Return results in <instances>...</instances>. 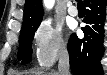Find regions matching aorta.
<instances>
[{"instance_id":"1","label":"aorta","mask_w":107,"mask_h":75,"mask_svg":"<svg viewBox=\"0 0 107 75\" xmlns=\"http://www.w3.org/2000/svg\"><path fill=\"white\" fill-rule=\"evenodd\" d=\"M44 4H45V6H46L47 8H52V6H53V4H54V1H53V0H46V1L44 2Z\"/></svg>"}]
</instances>
